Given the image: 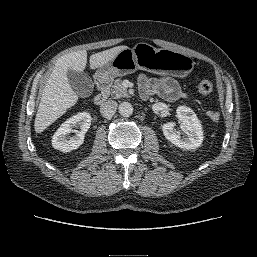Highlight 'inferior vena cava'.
I'll use <instances>...</instances> for the list:
<instances>
[{"label": "inferior vena cava", "mask_w": 257, "mask_h": 257, "mask_svg": "<svg viewBox=\"0 0 257 257\" xmlns=\"http://www.w3.org/2000/svg\"><path fill=\"white\" fill-rule=\"evenodd\" d=\"M117 106L116 101L108 100L100 106V112L103 116L110 117L116 112Z\"/></svg>", "instance_id": "1"}]
</instances>
